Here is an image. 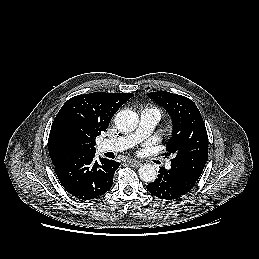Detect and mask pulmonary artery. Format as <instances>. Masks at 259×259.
Returning a JSON list of instances; mask_svg holds the SVG:
<instances>
[{"mask_svg": "<svg viewBox=\"0 0 259 259\" xmlns=\"http://www.w3.org/2000/svg\"><path fill=\"white\" fill-rule=\"evenodd\" d=\"M159 119L160 115L157 112L145 109L141 112L140 123L135 132L117 138L106 139L100 143L99 149L105 152L120 151L133 147L152 133ZM166 167H170L169 161L166 163Z\"/></svg>", "mask_w": 259, "mask_h": 259, "instance_id": "e3ab8cb5", "label": "pulmonary artery"}]
</instances>
